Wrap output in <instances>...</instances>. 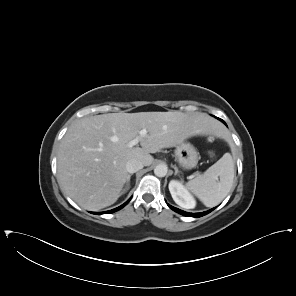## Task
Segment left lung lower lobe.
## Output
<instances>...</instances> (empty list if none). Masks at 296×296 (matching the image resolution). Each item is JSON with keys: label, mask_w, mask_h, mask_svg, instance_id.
<instances>
[{"label": "left lung lower lobe", "mask_w": 296, "mask_h": 296, "mask_svg": "<svg viewBox=\"0 0 296 296\" xmlns=\"http://www.w3.org/2000/svg\"><path fill=\"white\" fill-rule=\"evenodd\" d=\"M172 210H174L175 212L179 213V214H182V215H185V216H189V217H201V216H204L208 213H210L212 210H214L215 208L209 210V211H206V212H202V213H188V212H185V211H182L180 209H177L169 204H167Z\"/></svg>", "instance_id": "left-lung-lower-lobe-1"}]
</instances>
